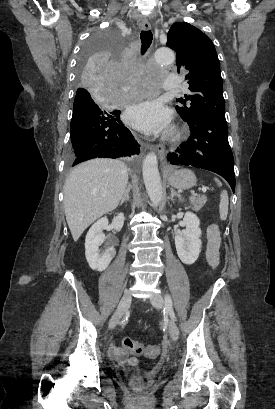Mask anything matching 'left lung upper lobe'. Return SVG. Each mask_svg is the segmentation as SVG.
Returning a JSON list of instances; mask_svg holds the SVG:
<instances>
[{
    "label": "left lung upper lobe",
    "instance_id": "left-lung-upper-lobe-1",
    "mask_svg": "<svg viewBox=\"0 0 275 409\" xmlns=\"http://www.w3.org/2000/svg\"><path fill=\"white\" fill-rule=\"evenodd\" d=\"M166 45L176 52L178 73L185 74L191 91L176 99L181 117L188 124L207 116L225 118L220 63L209 37L189 23L176 22Z\"/></svg>",
    "mask_w": 275,
    "mask_h": 409
}]
</instances>
